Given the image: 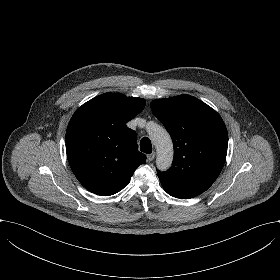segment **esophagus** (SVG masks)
Segmentation results:
<instances>
[{
  "mask_svg": "<svg viewBox=\"0 0 280 280\" xmlns=\"http://www.w3.org/2000/svg\"><path fill=\"white\" fill-rule=\"evenodd\" d=\"M155 152H152V153H150V154H147V160L149 161V162H151V161H153L154 160V158H155Z\"/></svg>",
  "mask_w": 280,
  "mask_h": 280,
  "instance_id": "1",
  "label": "esophagus"
}]
</instances>
